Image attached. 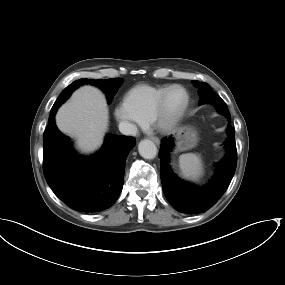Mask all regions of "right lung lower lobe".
<instances>
[{
  "label": "right lung lower lobe",
  "mask_w": 285,
  "mask_h": 285,
  "mask_svg": "<svg viewBox=\"0 0 285 285\" xmlns=\"http://www.w3.org/2000/svg\"><path fill=\"white\" fill-rule=\"evenodd\" d=\"M51 112L43 134V172L55 195L84 213L110 208L123 188L125 161L136 142L133 137L108 134L101 150L81 157L55 125Z\"/></svg>",
  "instance_id": "obj_1"
}]
</instances>
